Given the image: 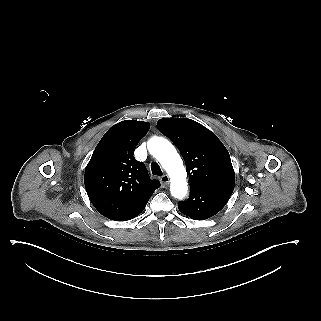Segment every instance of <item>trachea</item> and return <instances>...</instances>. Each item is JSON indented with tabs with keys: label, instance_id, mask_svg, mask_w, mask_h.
<instances>
[{
	"label": "trachea",
	"instance_id": "3493384b",
	"mask_svg": "<svg viewBox=\"0 0 321 321\" xmlns=\"http://www.w3.org/2000/svg\"><path fill=\"white\" fill-rule=\"evenodd\" d=\"M151 171H152V174L157 176H162L163 174L160 166L155 161L151 163Z\"/></svg>",
	"mask_w": 321,
	"mask_h": 321
}]
</instances>
